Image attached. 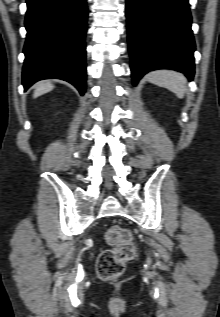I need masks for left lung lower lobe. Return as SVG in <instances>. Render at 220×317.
<instances>
[{"mask_svg": "<svg viewBox=\"0 0 220 317\" xmlns=\"http://www.w3.org/2000/svg\"><path fill=\"white\" fill-rule=\"evenodd\" d=\"M133 85L148 71L194 75L195 42L188 0H126Z\"/></svg>", "mask_w": 220, "mask_h": 317, "instance_id": "left-lung-lower-lobe-1", "label": "left lung lower lobe"}]
</instances>
